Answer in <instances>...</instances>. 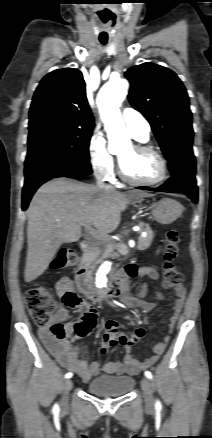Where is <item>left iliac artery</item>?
I'll return each mask as SVG.
<instances>
[{"instance_id":"obj_1","label":"left iliac artery","mask_w":212,"mask_h":438,"mask_svg":"<svg viewBox=\"0 0 212 438\" xmlns=\"http://www.w3.org/2000/svg\"><path fill=\"white\" fill-rule=\"evenodd\" d=\"M145 376H146L148 379H152V374H151V372H149V371H145ZM156 406H157V407H160V406H161L160 401H156Z\"/></svg>"}]
</instances>
